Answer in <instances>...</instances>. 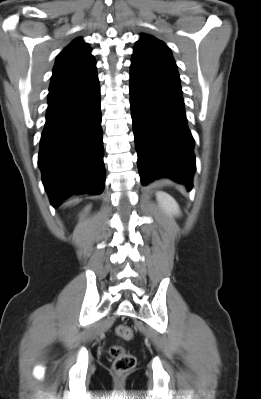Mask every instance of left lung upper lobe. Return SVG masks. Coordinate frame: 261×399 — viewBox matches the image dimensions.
Wrapping results in <instances>:
<instances>
[{"label":"left lung upper lobe","mask_w":261,"mask_h":399,"mask_svg":"<svg viewBox=\"0 0 261 399\" xmlns=\"http://www.w3.org/2000/svg\"><path fill=\"white\" fill-rule=\"evenodd\" d=\"M131 65L179 76L170 49L164 42L147 34H141L136 43Z\"/></svg>","instance_id":"5c2ea615"}]
</instances>
